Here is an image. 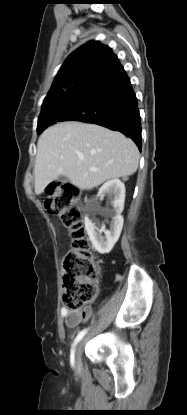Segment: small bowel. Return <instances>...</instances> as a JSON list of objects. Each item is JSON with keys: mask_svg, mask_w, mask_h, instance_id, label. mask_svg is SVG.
<instances>
[{"mask_svg": "<svg viewBox=\"0 0 187 415\" xmlns=\"http://www.w3.org/2000/svg\"><path fill=\"white\" fill-rule=\"evenodd\" d=\"M61 314L65 318L66 325L70 328H74L89 319L91 315V308L89 306H85L77 311H70L66 308H62Z\"/></svg>", "mask_w": 187, "mask_h": 415, "instance_id": "small-bowel-1", "label": "small bowel"}]
</instances>
